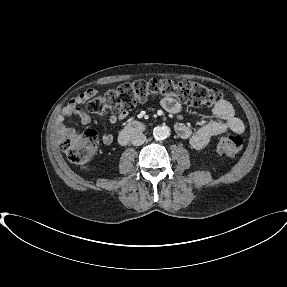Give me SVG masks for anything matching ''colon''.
I'll return each mask as SVG.
<instances>
[{
    "instance_id": "colon-1",
    "label": "colon",
    "mask_w": 287,
    "mask_h": 287,
    "mask_svg": "<svg viewBox=\"0 0 287 287\" xmlns=\"http://www.w3.org/2000/svg\"><path fill=\"white\" fill-rule=\"evenodd\" d=\"M157 96L173 98L193 107H212L222 99V93L215 88L190 82H175L168 79L136 80L122 84L115 89L92 96L87 108L94 114L107 111H129L138 103H144ZM98 145V134L94 130L73 131L61 142V148L68 159L79 166H86ZM243 148L239 136L222 138L217 146L219 153L228 157L237 156Z\"/></svg>"
}]
</instances>
